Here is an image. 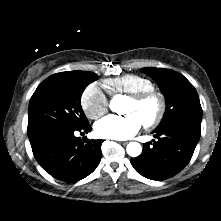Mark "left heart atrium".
<instances>
[{"mask_svg": "<svg viewBox=\"0 0 221 221\" xmlns=\"http://www.w3.org/2000/svg\"><path fill=\"white\" fill-rule=\"evenodd\" d=\"M142 123L136 113L123 116L108 115L95 124V132L101 138L124 140L135 135Z\"/></svg>", "mask_w": 221, "mask_h": 221, "instance_id": "obj_1", "label": "left heart atrium"}]
</instances>
